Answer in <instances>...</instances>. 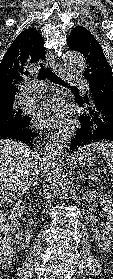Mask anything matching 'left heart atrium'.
Listing matches in <instances>:
<instances>
[{
    "label": "left heart atrium",
    "mask_w": 113,
    "mask_h": 279,
    "mask_svg": "<svg viewBox=\"0 0 113 279\" xmlns=\"http://www.w3.org/2000/svg\"><path fill=\"white\" fill-rule=\"evenodd\" d=\"M66 114L64 103L55 97H45L36 106L34 117L41 126L52 127L61 122Z\"/></svg>",
    "instance_id": "obj_1"
}]
</instances>
